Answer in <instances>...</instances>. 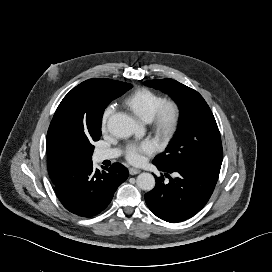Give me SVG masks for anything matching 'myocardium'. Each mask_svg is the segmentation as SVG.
<instances>
[{"mask_svg": "<svg viewBox=\"0 0 272 272\" xmlns=\"http://www.w3.org/2000/svg\"><path fill=\"white\" fill-rule=\"evenodd\" d=\"M180 119L179 104L175 100L164 99L151 119V124L158 136L167 137L177 129Z\"/></svg>", "mask_w": 272, "mask_h": 272, "instance_id": "1", "label": "myocardium"}]
</instances>
